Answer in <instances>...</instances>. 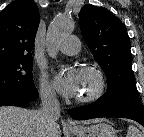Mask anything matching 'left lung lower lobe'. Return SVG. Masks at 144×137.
<instances>
[{"mask_svg": "<svg viewBox=\"0 0 144 137\" xmlns=\"http://www.w3.org/2000/svg\"><path fill=\"white\" fill-rule=\"evenodd\" d=\"M69 114L76 120L98 117H122L135 120L144 126V108L139 101L106 103L100 98L88 106L70 109Z\"/></svg>", "mask_w": 144, "mask_h": 137, "instance_id": "obj_1", "label": "left lung lower lobe"}]
</instances>
